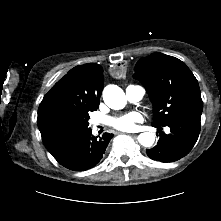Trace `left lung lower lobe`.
Listing matches in <instances>:
<instances>
[{
  "label": "left lung lower lobe",
  "instance_id": "left-lung-lower-lobe-1",
  "mask_svg": "<svg viewBox=\"0 0 221 221\" xmlns=\"http://www.w3.org/2000/svg\"><path fill=\"white\" fill-rule=\"evenodd\" d=\"M201 114H191L170 120L165 126L170 127V134L161 131L162 126L153 125L161 133L157 145L147 150V155L160 162L177 161L186 156L195 145L201 128Z\"/></svg>",
  "mask_w": 221,
  "mask_h": 221
}]
</instances>
